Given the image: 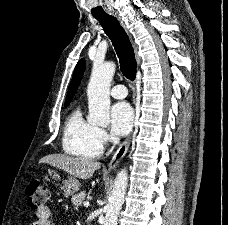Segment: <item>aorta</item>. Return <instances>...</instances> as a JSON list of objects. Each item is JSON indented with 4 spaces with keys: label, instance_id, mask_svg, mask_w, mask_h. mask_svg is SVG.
<instances>
[{
    "label": "aorta",
    "instance_id": "1",
    "mask_svg": "<svg viewBox=\"0 0 228 225\" xmlns=\"http://www.w3.org/2000/svg\"><path fill=\"white\" fill-rule=\"evenodd\" d=\"M115 62H93V68L87 86L89 104V125H110V86L114 76ZM128 185V171L121 169L116 175L106 211L104 225H117L119 211L124 203Z\"/></svg>",
    "mask_w": 228,
    "mask_h": 225
}]
</instances>
